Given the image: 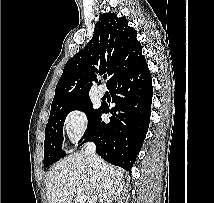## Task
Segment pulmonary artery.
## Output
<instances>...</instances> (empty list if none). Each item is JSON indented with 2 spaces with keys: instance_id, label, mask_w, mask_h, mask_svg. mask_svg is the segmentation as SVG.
Returning <instances> with one entry per match:
<instances>
[{
  "instance_id": "pulmonary-artery-1",
  "label": "pulmonary artery",
  "mask_w": 214,
  "mask_h": 203,
  "mask_svg": "<svg viewBox=\"0 0 214 203\" xmlns=\"http://www.w3.org/2000/svg\"><path fill=\"white\" fill-rule=\"evenodd\" d=\"M97 92H98V95L100 97H102V96L105 95V88L103 86H99L98 89H97Z\"/></svg>"
}]
</instances>
